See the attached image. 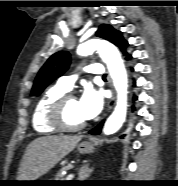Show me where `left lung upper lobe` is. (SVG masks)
<instances>
[{
	"label": "left lung upper lobe",
	"mask_w": 178,
	"mask_h": 186,
	"mask_svg": "<svg viewBox=\"0 0 178 186\" xmlns=\"http://www.w3.org/2000/svg\"><path fill=\"white\" fill-rule=\"evenodd\" d=\"M96 35L115 44L123 51L124 55H127L125 47L128 43L123 39L121 32L116 31L112 26L101 25ZM70 61V54L67 51H59L53 54L40 69L35 79L31 95L39 96L52 81L60 77L68 69Z\"/></svg>",
	"instance_id": "1"
}]
</instances>
